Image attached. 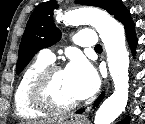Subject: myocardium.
Wrapping results in <instances>:
<instances>
[{"label":"myocardium","mask_w":145,"mask_h":124,"mask_svg":"<svg viewBox=\"0 0 145 124\" xmlns=\"http://www.w3.org/2000/svg\"><path fill=\"white\" fill-rule=\"evenodd\" d=\"M59 71H63L59 65H48L33 80L29 99L35 109L46 113L62 114L74 110L79 105L78 101L70 104H60L54 99L50 85L53 75Z\"/></svg>","instance_id":"f54148a6"}]
</instances>
